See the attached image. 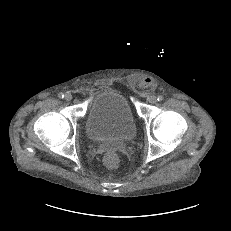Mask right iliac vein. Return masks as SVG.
Here are the masks:
<instances>
[{"mask_svg":"<svg viewBox=\"0 0 231 231\" xmlns=\"http://www.w3.org/2000/svg\"><path fill=\"white\" fill-rule=\"evenodd\" d=\"M65 100H66V101H71V100H72V95H71L70 93H67V94L65 95Z\"/></svg>","mask_w":231,"mask_h":231,"instance_id":"1","label":"right iliac vein"}]
</instances>
